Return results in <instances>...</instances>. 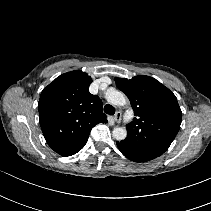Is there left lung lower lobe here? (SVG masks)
<instances>
[{
    "instance_id": "obj_1",
    "label": "left lung lower lobe",
    "mask_w": 211,
    "mask_h": 211,
    "mask_svg": "<svg viewBox=\"0 0 211 211\" xmlns=\"http://www.w3.org/2000/svg\"><path fill=\"white\" fill-rule=\"evenodd\" d=\"M117 146H118V142H117ZM118 148L120 149L119 146H118ZM120 151H121L128 159H130V160H132V161H134V162H137V161L133 160L132 158L128 157L121 149H120Z\"/></svg>"
}]
</instances>
